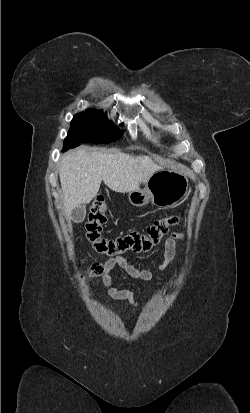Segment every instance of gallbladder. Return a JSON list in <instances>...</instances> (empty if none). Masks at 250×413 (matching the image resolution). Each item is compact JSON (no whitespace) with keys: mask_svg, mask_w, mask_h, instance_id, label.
<instances>
[{"mask_svg":"<svg viewBox=\"0 0 250 413\" xmlns=\"http://www.w3.org/2000/svg\"><path fill=\"white\" fill-rule=\"evenodd\" d=\"M85 216H86V208L83 205L75 207L71 212V218L76 223L82 222Z\"/></svg>","mask_w":250,"mask_h":413,"instance_id":"1","label":"gallbladder"}]
</instances>
